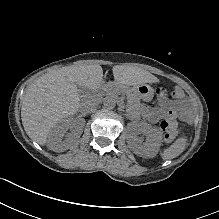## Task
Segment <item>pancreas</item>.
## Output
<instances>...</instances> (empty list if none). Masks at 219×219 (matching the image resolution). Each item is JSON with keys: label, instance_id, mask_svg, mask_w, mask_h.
<instances>
[{"label": "pancreas", "instance_id": "1", "mask_svg": "<svg viewBox=\"0 0 219 219\" xmlns=\"http://www.w3.org/2000/svg\"><path fill=\"white\" fill-rule=\"evenodd\" d=\"M107 98L116 99L120 94L127 99V109L126 113L130 117L131 120L137 121L140 119L141 114L138 110V96L136 92L127 86L121 88V90L114 85L109 86L106 83L104 91Z\"/></svg>", "mask_w": 219, "mask_h": 219}]
</instances>
